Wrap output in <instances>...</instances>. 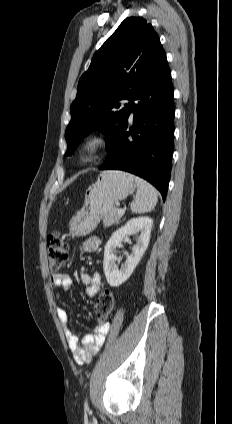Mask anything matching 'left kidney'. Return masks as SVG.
<instances>
[{"instance_id":"obj_1","label":"left kidney","mask_w":232,"mask_h":424,"mask_svg":"<svg viewBox=\"0 0 232 424\" xmlns=\"http://www.w3.org/2000/svg\"><path fill=\"white\" fill-rule=\"evenodd\" d=\"M152 225L153 220L150 217L132 218L112 234L105 246L103 261L104 274L111 287H118L133 273L148 247ZM138 232L140 235L132 248V253L127 256L125 263L119 269L115 263L118 260L116 257L118 246L123 238Z\"/></svg>"}]
</instances>
